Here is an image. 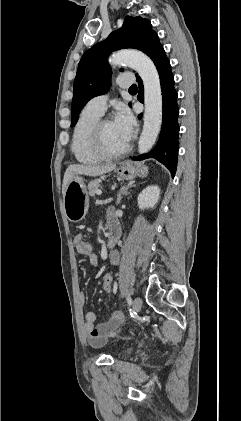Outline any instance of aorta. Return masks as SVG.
<instances>
[{
	"instance_id": "762f6f07",
	"label": "aorta",
	"mask_w": 241,
	"mask_h": 421,
	"mask_svg": "<svg viewBox=\"0 0 241 421\" xmlns=\"http://www.w3.org/2000/svg\"><path fill=\"white\" fill-rule=\"evenodd\" d=\"M111 65L125 64L140 75L144 85V126L138 142V153L148 152L158 137L162 123V92L160 78L152 60L143 52L124 49L109 59Z\"/></svg>"
}]
</instances>
